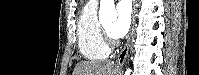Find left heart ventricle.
<instances>
[{
    "label": "left heart ventricle",
    "instance_id": "1",
    "mask_svg": "<svg viewBox=\"0 0 199 75\" xmlns=\"http://www.w3.org/2000/svg\"><path fill=\"white\" fill-rule=\"evenodd\" d=\"M111 23H105L104 27L108 30L110 28Z\"/></svg>",
    "mask_w": 199,
    "mask_h": 75
}]
</instances>
